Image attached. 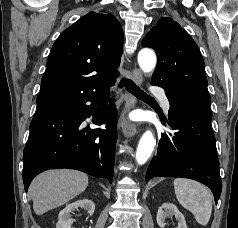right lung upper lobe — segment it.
Segmentation results:
<instances>
[{"mask_svg":"<svg viewBox=\"0 0 238 228\" xmlns=\"http://www.w3.org/2000/svg\"><path fill=\"white\" fill-rule=\"evenodd\" d=\"M123 32L112 14L89 12L52 46L37 109L106 91L119 76Z\"/></svg>","mask_w":238,"mask_h":228,"instance_id":"right-lung-upper-lobe-1","label":"right lung upper lobe"}]
</instances>
